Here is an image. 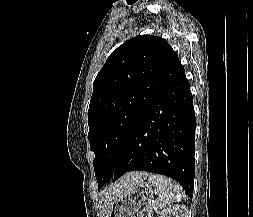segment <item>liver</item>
<instances>
[{"mask_svg":"<svg viewBox=\"0 0 253 217\" xmlns=\"http://www.w3.org/2000/svg\"><path fill=\"white\" fill-rule=\"evenodd\" d=\"M147 173L144 172H129L122 176L118 182L112 184L107 190L102 193V210L104 217H108L111 205L114 200L123 196L127 190L133 189L136 185L144 181Z\"/></svg>","mask_w":253,"mask_h":217,"instance_id":"1","label":"liver"}]
</instances>
